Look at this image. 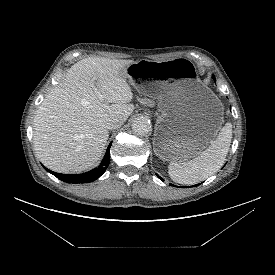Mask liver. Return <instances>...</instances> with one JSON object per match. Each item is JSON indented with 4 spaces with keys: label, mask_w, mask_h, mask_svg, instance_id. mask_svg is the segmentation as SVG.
Instances as JSON below:
<instances>
[{
    "label": "liver",
    "mask_w": 275,
    "mask_h": 275,
    "mask_svg": "<svg viewBox=\"0 0 275 275\" xmlns=\"http://www.w3.org/2000/svg\"><path fill=\"white\" fill-rule=\"evenodd\" d=\"M133 62L85 58L48 93L36 112L33 138L36 155L46 167L80 172L100 159L109 136L107 119L119 115L126 120L134 111L133 93L123 74Z\"/></svg>",
    "instance_id": "6515ba94"
}]
</instances>
